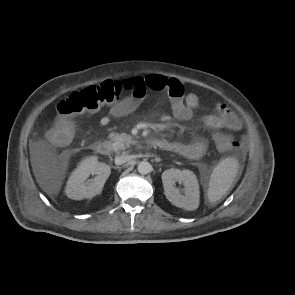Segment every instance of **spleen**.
I'll list each match as a JSON object with an SVG mask.
<instances>
[{
  "label": "spleen",
  "instance_id": "1",
  "mask_svg": "<svg viewBox=\"0 0 295 295\" xmlns=\"http://www.w3.org/2000/svg\"><path fill=\"white\" fill-rule=\"evenodd\" d=\"M238 170L237 160L228 157L214 167L207 191L210 203H215L229 190Z\"/></svg>",
  "mask_w": 295,
  "mask_h": 295
}]
</instances>
